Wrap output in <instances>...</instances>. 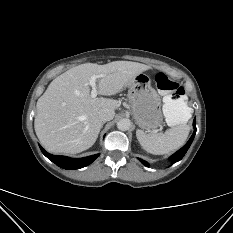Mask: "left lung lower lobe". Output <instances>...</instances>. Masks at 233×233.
I'll use <instances>...</instances> for the list:
<instances>
[{
    "mask_svg": "<svg viewBox=\"0 0 233 233\" xmlns=\"http://www.w3.org/2000/svg\"><path fill=\"white\" fill-rule=\"evenodd\" d=\"M193 126H194V132L191 136V138L189 139V141L186 143V145H184L180 150H178L176 153H174L169 160H171L172 164H174L175 162L180 161L183 156L185 155V153L187 152V150L189 149L195 134H196V120L194 119L193 121ZM145 166H148V163L145 162L144 160L139 159Z\"/></svg>",
    "mask_w": 233,
    "mask_h": 233,
    "instance_id": "left-lung-lower-lobe-1",
    "label": "left lung lower lobe"
}]
</instances>
